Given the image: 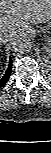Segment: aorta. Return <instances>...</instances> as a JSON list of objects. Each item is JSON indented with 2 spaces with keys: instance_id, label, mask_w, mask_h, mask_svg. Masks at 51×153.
<instances>
[{
  "instance_id": "aorta-1",
  "label": "aorta",
  "mask_w": 51,
  "mask_h": 153,
  "mask_svg": "<svg viewBox=\"0 0 51 153\" xmlns=\"http://www.w3.org/2000/svg\"><path fill=\"white\" fill-rule=\"evenodd\" d=\"M12 48L16 53H28L32 48V40L25 34L19 35L13 39Z\"/></svg>"
}]
</instances>
